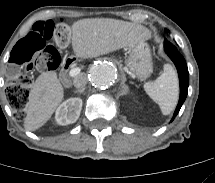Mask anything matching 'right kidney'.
Segmentation results:
<instances>
[{"label":"right kidney","mask_w":215,"mask_h":183,"mask_svg":"<svg viewBox=\"0 0 215 183\" xmlns=\"http://www.w3.org/2000/svg\"><path fill=\"white\" fill-rule=\"evenodd\" d=\"M82 109L81 98H70L56 110L55 119L59 125H68L77 121Z\"/></svg>","instance_id":"1"}]
</instances>
